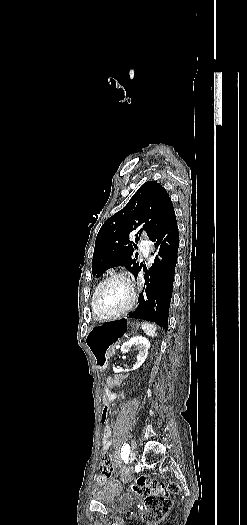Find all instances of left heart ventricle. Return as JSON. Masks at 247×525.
<instances>
[{
	"mask_svg": "<svg viewBox=\"0 0 247 525\" xmlns=\"http://www.w3.org/2000/svg\"><path fill=\"white\" fill-rule=\"evenodd\" d=\"M131 295V283L124 278H113L100 289L97 305L103 310H112L127 302Z\"/></svg>",
	"mask_w": 247,
	"mask_h": 525,
	"instance_id": "1",
	"label": "left heart ventricle"
}]
</instances>
